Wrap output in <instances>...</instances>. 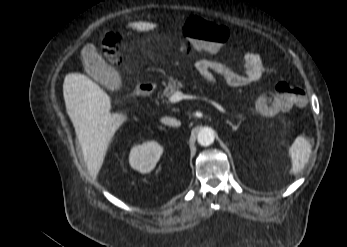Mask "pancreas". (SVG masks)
Wrapping results in <instances>:
<instances>
[{
	"label": "pancreas",
	"instance_id": "obj_1",
	"mask_svg": "<svg viewBox=\"0 0 347 247\" xmlns=\"http://www.w3.org/2000/svg\"><path fill=\"white\" fill-rule=\"evenodd\" d=\"M184 85L181 80L179 79H174V78H169L167 82L165 83V89L162 93V97H170L174 92L179 90L180 88H183ZM239 118L243 120L244 118L242 115H239Z\"/></svg>",
	"mask_w": 347,
	"mask_h": 247
}]
</instances>
